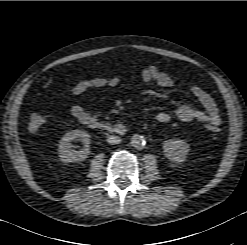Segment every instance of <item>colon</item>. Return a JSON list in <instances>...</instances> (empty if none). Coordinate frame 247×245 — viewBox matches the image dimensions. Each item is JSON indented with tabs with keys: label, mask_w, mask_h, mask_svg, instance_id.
<instances>
[{
	"label": "colon",
	"mask_w": 247,
	"mask_h": 245,
	"mask_svg": "<svg viewBox=\"0 0 247 245\" xmlns=\"http://www.w3.org/2000/svg\"><path fill=\"white\" fill-rule=\"evenodd\" d=\"M82 87L86 90L93 89V88H102L106 87L108 84V76L101 75L97 76L85 81H82ZM46 123V117L40 113H33L30 116V120L28 123V129L31 133L39 132ZM204 127L206 130L216 133L219 132V128L208 123H204Z\"/></svg>",
	"instance_id": "colon-1"
}]
</instances>
